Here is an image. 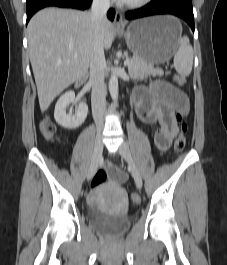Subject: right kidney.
<instances>
[{"instance_id": "right-kidney-1", "label": "right kidney", "mask_w": 227, "mask_h": 265, "mask_svg": "<svg viewBox=\"0 0 227 265\" xmlns=\"http://www.w3.org/2000/svg\"><path fill=\"white\" fill-rule=\"evenodd\" d=\"M74 91H67L64 93L56 103L54 118L56 122L66 129H75L79 127L86 119L88 113V106L85 103H80L77 107L76 113L73 115L72 111L66 113L67 106L74 102Z\"/></svg>"}]
</instances>
